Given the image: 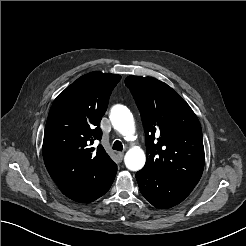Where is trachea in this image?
I'll return each mask as SVG.
<instances>
[{
    "mask_svg": "<svg viewBox=\"0 0 246 246\" xmlns=\"http://www.w3.org/2000/svg\"><path fill=\"white\" fill-rule=\"evenodd\" d=\"M114 150L121 151L123 149V145L120 141H115L112 147Z\"/></svg>",
    "mask_w": 246,
    "mask_h": 246,
    "instance_id": "3493384b",
    "label": "trachea"
}]
</instances>
